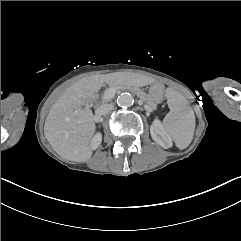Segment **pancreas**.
I'll return each mask as SVG.
<instances>
[{"mask_svg": "<svg viewBox=\"0 0 241 241\" xmlns=\"http://www.w3.org/2000/svg\"><path fill=\"white\" fill-rule=\"evenodd\" d=\"M115 89H117V88H124V89H127V91H132V92H136V96L138 97V98H140L141 100H142V102L144 103V104H146L147 105V109L149 110V111H154L155 109H156V104L154 103V99L152 98V97H150L149 95H148V93L146 92V91H144L143 89H137V87H132V86H120L119 84L118 85H115V86H113ZM106 91H108V90H106ZM105 95V94H104ZM103 100L105 101V102H109V101H111L112 100V98L111 99H104V96H103Z\"/></svg>", "mask_w": 241, "mask_h": 241, "instance_id": "cf45deb5", "label": "pancreas"}]
</instances>
